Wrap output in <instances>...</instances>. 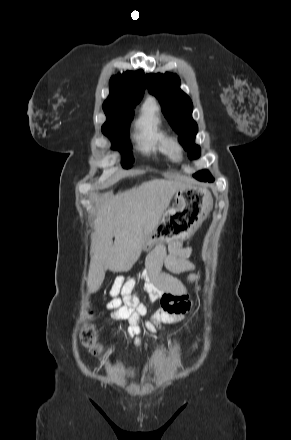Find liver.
<instances>
[{
  "mask_svg": "<svg viewBox=\"0 0 291 440\" xmlns=\"http://www.w3.org/2000/svg\"><path fill=\"white\" fill-rule=\"evenodd\" d=\"M183 186L176 181L152 179L116 196H104L92 224L90 291L102 284L107 270L123 272L132 267L174 193Z\"/></svg>",
  "mask_w": 291,
  "mask_h": 440,
  "instance_id": "6515ba94",
  "label": "liver"
}]
</instances>
